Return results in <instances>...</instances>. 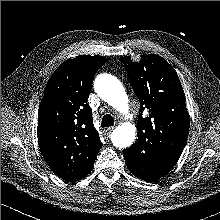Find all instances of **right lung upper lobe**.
Instances as JSON below:
<instances>
[{
	"instance_id": "1",
	"label": "right lung upper lobe",
	"mask_w": 220,
	"mask_h": 220,
	"mask_svg": "<svg viewBox=\"0 0 220 220\" xmlns=\"http://www.w3.org/2000/svg\"><path fill=\"white\" fill-rule=\"evenodd\" d=\"M102 56L69 59L52 74L38 112L42 156L60 178L74 182L90 173L102 147L87 103Z\"/></svg>"
}]
</instances>
